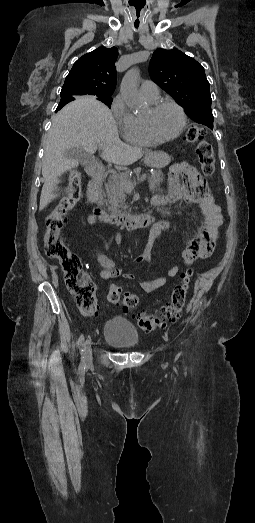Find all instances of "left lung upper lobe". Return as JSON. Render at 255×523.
<instances>
[{
    "instance_id": "5c2ea615",
    "label": "left lung upper lobe",
    "mask_w": 255,
    "mask_h": 523,
    "mask_svg": "<svg viewBox=\"0 0 255 523\" xmlns=\"http://www.w3.org/2000/svg\"><path fill=\"white\" fill-rule=\"evenodd\" d=\"M149 74L195 122L213 128L209 82L197 61L176 49H157L150 60Z\"/></svg>"
}]
</instances>
